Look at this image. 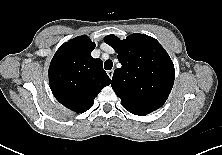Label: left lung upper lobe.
I'll return each mask as SVG.
<instances>
[{
	"mask_svg": "<svg viewBox=\"0 0 222 155\" xmlns=\"http://www.w3.org/2000/svg\"><path fill=\"white\" fill-rule=\"evenodd\" d=\"M104 41L118 53L122 64L114 71L111 84L122 106L139 116L162 107L173 87L175 69L161 44L139 33L124 40L108 35Z\"/></svg>",
	"mask_w": 222,
	"mask_h": 155,
	"instance_id": "left-lung-upper-lobe-1",
	"label": "left lung upper lobe"
}]
</instances>
